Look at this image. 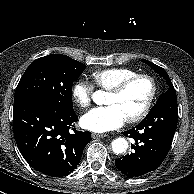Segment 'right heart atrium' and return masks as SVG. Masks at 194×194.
<instances>
[{
  "instance_id": "obj_1",
  "label": "right heart atrium",
  "mask_w": 194,
  "mask_h": 194,
  "mask_svg": "<svg viewBox=\"0 0 194 194\" xmlns=\"http://www.w3.org/2000/svg\"><path fill=\"white\" fill-rule=\"evenodd\" d=\"M92 93H93L92 84L83 78H79L76 81H74L71 87V96L73 102L79 108L85 109L90 105Z\"/></svg>"
}]
</instances>
